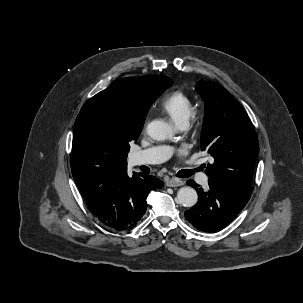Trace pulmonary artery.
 <instances>
[{
	"label": "pulmonary artery",
	"mask_w": 303,
	"mask_h": 303,
	"mask_svg": "<svg viewBox=\"0 0 303 303\" xmlns=\"http://www.w3.org/2000/svg\"><path fill=\"white\" fill-rule=\"evenodd\" d=\"M186 126L187 124H182L179 127L184 129ZM172 153L173 148L170 146H157L133 153L131 163L132 165L158 164L169 159ZM197 180L203 186L208 183V177L205 174H199Z\"/></svg>",
	"instance_id": "pulmonary-artery-1"
}]
</instances>
